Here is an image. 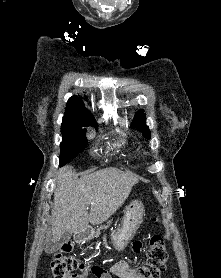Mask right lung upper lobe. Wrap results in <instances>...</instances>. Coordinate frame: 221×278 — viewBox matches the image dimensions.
Returning a JSON list of instances; mask_svg holds the SVG:
<instances>
[{
  "label": "right lung upper lobe",
  "instance_id": "obj_1",
  "mask_svg": "<svg viewBox=\"0 0 221 278\" xmlns=\"http://www.w3.org/2000/svg\"><path fill=\"white\" fill-rule=\"evenodd\" d=\"M63 121H77L84 124L97 125L93 115L86 109L82 99L76 95L68 100Z\"/></svg>",
  "mask_w": 221,
  "mask_h": 278
}]
</instances>
